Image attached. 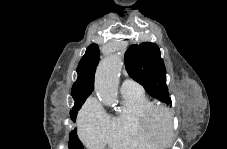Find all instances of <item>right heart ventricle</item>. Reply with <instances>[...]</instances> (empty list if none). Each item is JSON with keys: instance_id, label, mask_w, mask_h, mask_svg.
<instances>
[{"instance_id": "e07e8e85", "label": "right heart ventricle", "mask_w": 227, "mask_h": 149, "mask_svg": "<svg viewBox=\"0 0 227 149\" xmlns=\"http://www.w3.org/2000/svg\"><path fill=\"white\" fill-rule=\"evenodd\" d=\"M122 105L109 117L107 141L118 149H154L142 126L141 115L154 105L144 91L122 93Z\"/></svg>"}]
</instances>
